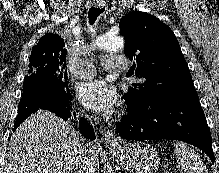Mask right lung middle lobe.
I'll use <instances>...</instances> for the list:
<instances>
[{
	"label": "right lung middle lobe",
	"instance_id": "1",
	"mask_svg": "<svg viewBox=\"0 0 219 173\" xmlns=\"http://www.w3.org/2000/svg\"><path fill=\"white\" fill-rule=\"evenodd\" d=\"M41 84L58 88L63 96L71 97L66 69L49 62H31L29 60L27 75L24 77L23 90L27 92Z\"/></svg>",
	"mask_w": 219,
	"mask_h": 173
}]
</instances>
